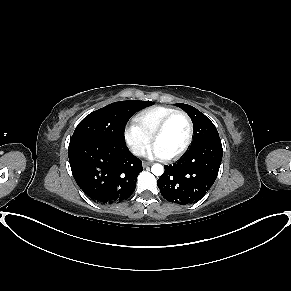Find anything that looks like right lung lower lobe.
<instances>
[{
  "label": "right lung lower lobe",
  "instance_id": "98d812e1",
  "mask_svg": "<svg viewBox=\"0 0 291 291\" xmlns=\"http://www.w3.org/2000/svg\"><path fill=\"white\" fill-rule=\"evenodd\" d=\"M74 179L82 191L101 204L120 203L135 191L142 161L126 144L83 140L69 144Z\"/></svg>",
  "mask_w": 291,
  "mask_h": 291
}]
</instances>
